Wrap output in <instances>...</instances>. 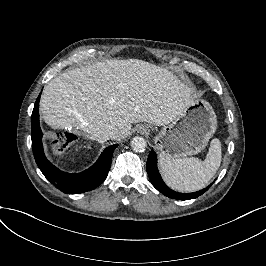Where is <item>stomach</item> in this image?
<instances>
[{"label":"stomach","instance_id":"1","mask_svg":"<svg viewBox=\"0 0 266 266\" xmlns=\"http://www.w3.org/2000/svg\"><path fill=\"white\" fill-rule=\"evenodd\" d=\"M140 129L141 126L137 131ZM216 129L217 116L212 106L203 99H197L182 115L164 125L154 142L171 158L192 156L206 148Z\"/></svg>","mask_w":266,"mask_h":266}]
</instances>
